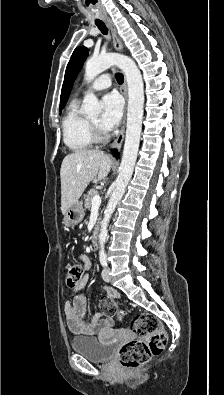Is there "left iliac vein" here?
<instances>
[{
	"instance_id": "4c4485c4",
	"label": "left iliac vein",
	"mask_w": 224,
	"mask_h": 395,
	"mask_svg": "<svg viewBox=\"0 0 224 395\" xmlns=\"http://www.w3.org/2000/svg\"><path fill=\"white\" fill-rule=\"evenodd\" d=\"M110 269L109 267H104L102 271V278L104 281L109 282L110 281V275H109Z\"/></svg>"
}]
</instances>
